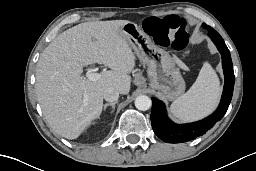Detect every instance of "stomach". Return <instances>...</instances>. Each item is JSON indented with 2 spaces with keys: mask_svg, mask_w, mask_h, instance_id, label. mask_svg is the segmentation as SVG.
<instances>
[{
  "mask_svg": "<svg viewBox=\"0 0 256 171\" xmlns=\"http://www.w3.org/2000/svg\"><path fill=\"white\" fill-rule=\"evenodd\" d=\"M120 30L140 61L148 65L150 87L160 90L170 101L182 96L185 81L176 67V60L157 46L136 23L128 22Z\"/></svg>",
  "mask_w": 256,
  "mask_h": 171,
  "instance_id": "obj_1",
  "label": "stomach"
}]
</instances>
